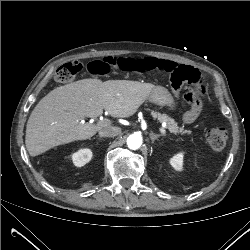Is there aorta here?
Listing matches in <instances>:
<instances>
[{
  "instance_id": "762f6f07",
  "label": "aorta",
  "mask_w": 250,
  "mask_h": 250,
  "mask_svg": "<svg viewBox=\"0 0 250 250\" xmlns=\"http://www.w3.org/2000/svg\"><path fill=\"white\" fill-rule=\"evenodd\" d=\"M127 145L132 150L139 149L141 147V145H142V137H141V135H139L137 133L131 134L127 138Z\"/></svg>"
}]
</instances>
